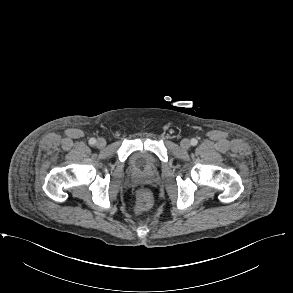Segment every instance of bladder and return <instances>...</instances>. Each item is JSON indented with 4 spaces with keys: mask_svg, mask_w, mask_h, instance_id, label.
Listing matches in <instances>:
<instances>
[{
    "mask_svg": "<svg viewBox=\"0 0 293 293\" xmlns=\"http://www.w3.org/2000/svg\"><path fill=\"white\" fill-rule=\"evenodd\" d=\"M131 166L133 169L146 176H153L159 169L157 159L146 151L136 152L131 158Z\"/></svg>",
    "mask_w": 293,
    "mask_h": 293,
    "instance_id": "obj_1",
    "label": "bladder"
}]
</instances>
